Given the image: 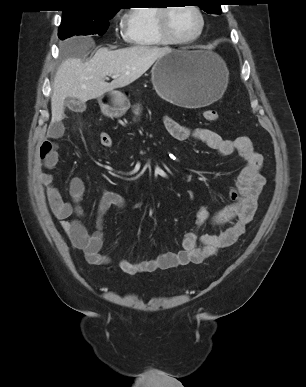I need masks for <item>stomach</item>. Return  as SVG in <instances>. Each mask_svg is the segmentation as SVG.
<instances>
[{
  "label": "stomach",
  "mask_w": 306,
  "mask_h": 387,
  "mask_svg": "<svg viewBox=\"0 0 306 387\" xmlns=\"http://www.w3.org/2000/svg\"><path fill=\"white\" fill-rule=\"evenodd\" d=\"M151 80L157 93L166 101L186 108H199L219 99L228 84V70L216 54L204 50H171L159 58ZM102 113L110 118L122 116L130 107L119 90L98 99Z\"/></svg>",
  "instance_id": "obj_1"
}]
</instances>
